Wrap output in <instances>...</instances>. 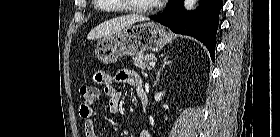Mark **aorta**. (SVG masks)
I'll use <instances>...</instances> for the list:
<instances>
[{
    "instance_id": "762f6f07",
    "label": "aorta",
    "mask_w": 280,
    "mask_h": 137,
    "mask_svg": "<svg viewBox=\"0 0 280 137\" xmlns=\"http://www.w3.org/2000/svg\"><path fill=\"white\" fill-rule=\"evenodd\" d=\"M197 0H185L184 1V8L186 10H191L195 7Z\"/></svg>"
}]
</instances>
